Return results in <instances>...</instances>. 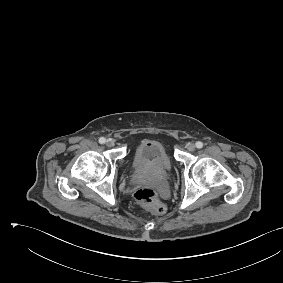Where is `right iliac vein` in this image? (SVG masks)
<instances>
[{"instance_id":"obj_1","label":"right iliac vein","mask_w":283,"mask_h":283,"mask_svg":"<svg viewBox=\"0 0 283 283\" xmlns=\"http://www.w3.org/2000/svg\"><path fill=\"white\" fill-rule=\"evenodd\" d=\"M106 145H107L108 147H113V146L115 145V143H114V141H112V140H108V141L106 142Z\"/></svg>"}]
</instances>
